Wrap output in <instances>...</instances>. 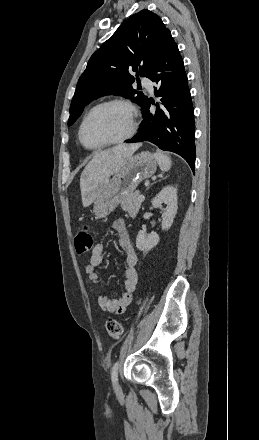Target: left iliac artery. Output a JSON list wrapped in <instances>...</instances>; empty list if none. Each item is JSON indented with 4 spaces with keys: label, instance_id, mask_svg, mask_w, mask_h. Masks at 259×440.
I'll return each mask as SVG.
<instances>
[{
    "label": "left iliac artery",
    "instance_id": "1",
    "mask_svg": "<svg viewBox=\"0 0 259 440\" xmlns=\"http://www.w3.org/2000/svg\"><path fill=\"white\" fill-rule=\"evenodd\" d=\"M118 365H119V363L117 361L112 367L111 378H112L113 384H115L117 382Z\"/></svg>",
    "mask_w": 259,
    "mask_h": 440
}]
</instances>
